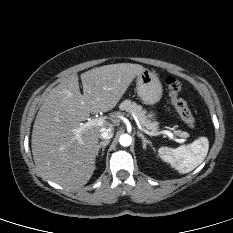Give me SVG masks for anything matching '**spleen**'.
<instances>
[{
	"mask_svg": "<svg viewBox=\"0 0 233 233\" xmlns=\"http://www.w3.org/2000/svg\"><path fill=\"white\" fill-rule=\"evenodd\" d=\"M209 140L200 137L189 145H181L178 148L160 147V158L168 162L180 174H185L199 166L207 156Z\"/></svg>",
	"mask_w": 233,
	"mask_h": 233,
	"instance_id": "obj_1",
	"label": "spleen"
}]
</instances>
